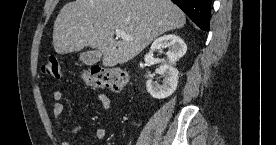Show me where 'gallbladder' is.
I'll return each mask as SVG.
<instances>
[{
	"mask_svg": "<svg viewBox=\"0 0 276 145\" xmlns=\"http://www.w3.org/2000/svg\"><path fill=\"white\" fill-rule=\"evenodd\" d=\"M102 54L99 50L86 51L80 54V60L85 65H94L100 61Z\"/></svg>",
	"mask_w": 276,
	"mask_h": 145,
	"instance_id": "bac80fb5",
	"label": "gallbladder"
}]
</instances>
